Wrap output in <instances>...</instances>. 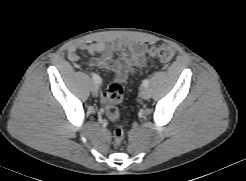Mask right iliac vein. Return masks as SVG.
Instances as JSON below:
<instances>
[{"instance_id":"63e3f726","label":"right iliac vein","mask_w":246,"mask_h":181,"mask_svg":"<svg viewBox=\"0 0 246 181\" xmlns=\"http://www.w3.org/2000/svg\"><path fill=\"white\" fill-rule=\"evenodd\" d=\"M91 91L93 92V94L96 96L98 94V85L96 83H93L91 85Z\"/></svg>"}]
</instances>
